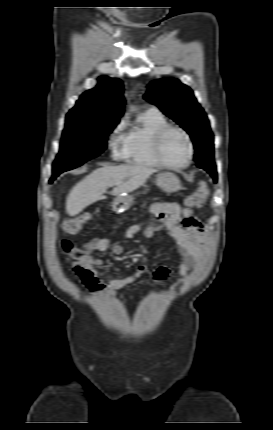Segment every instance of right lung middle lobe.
Returning <instances> with one entry per match:
<instances>
[{
	"label": "right lung middle lobe",
	"instance_id": "right-lung-middle-lobe-1",
	"mask_svg": "<svg viewBox=\"0 0 273 430\" xmlns=\"http://www.w3.org/2000/svg\"><path fill=\"white\" fill-rule=\"evenodd\" d=\"M118 120L89 119L67 115L60 152L53 163V176L97 157L106 149L107 136Z\"/></svg>",
	"mask_w": 273,
	"mask_h": 430
}]
</instances>
